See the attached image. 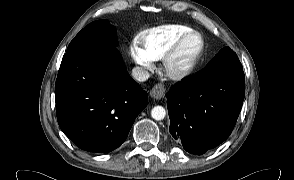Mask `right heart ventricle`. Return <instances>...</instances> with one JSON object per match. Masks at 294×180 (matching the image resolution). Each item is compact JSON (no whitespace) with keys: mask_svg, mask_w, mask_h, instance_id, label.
<instances>
[{"mask_svg":"<svg viewBox=\"0 0 294 180\" xmlns=\"http://www.w3.org/2000/svg\"><path fill=\"white\" fill-rule=\"evenodd\" d=\"M191 31L186 25L167 24L140 31L137 40L153 60H159L175 42Z\"/></svg>","mask_w":294,"mask_h":180,"instance_id":"right-heart-ventricle-1","label":"right heart ventricle"}]
</instances>
